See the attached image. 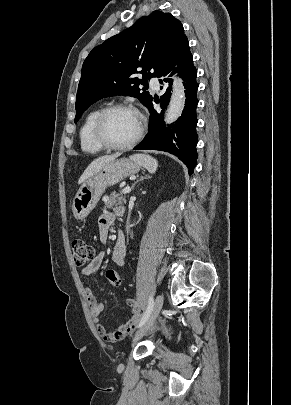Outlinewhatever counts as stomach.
<instances>
[{
  "label": "stomach",
  "mask_w": 291,
  "mask_h": 405,
  "mask_svg": "<svg viewBox=\"0 0 291 405\" xmlns=\"http://www.w3.org/2000/svg\"><path fill=\"white\" fill-rule=\"evenodd\" d=\"M141 165L132 158L113 160L88 178L78 190L72 204L73 215L82 220L95 208L106 188L136 174Z\"/></svg>",
  "instance_id": "1"
}]
</instances>
